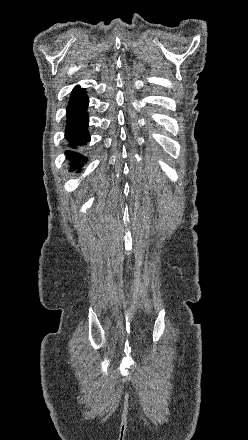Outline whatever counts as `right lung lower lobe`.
Wrapping results in <instances>:
<instances>
[{
  "mask_svg": "<svg viewBox=\"0 0 248 440\" xmlns=\"http://www.w3.org/2000/svg\"><path fill=\"white\" fill-rule=\"evenodd\" d=\"M88 97L85 90L77 87L73 90L69 105L67 107V126L66 139L71 143V147L75 148L78 145H84L90 140L87 130L88 127ZM69 160L72 161V170L82 167L81 162L86 161V158L74 151L66 152Z\"/></svg>",
  "mask_w": 248,
  "mask_h": 440,
  "instance_id": "98d812e1",
  "label": "right lung lower lobe"
}]
</instances>
